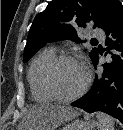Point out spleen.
<instances>
[{"mask_svg":"<svg viewBox=\"0 0 123 130\" xmlns=\"http://www.w3.org/2000/svg\"><path fill=\"white\" fill-rule=\"evenodd\" d=\"M96 117L98 119L99 130H114V121L111 116L102 112H97Z\"/></svg>","mask_w":123,"mask_h":130,"instance_id":"3e777b00","label":"spleen"}]
</instances>
